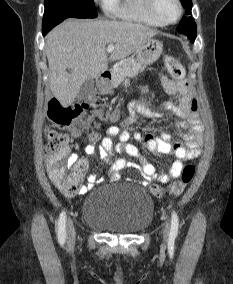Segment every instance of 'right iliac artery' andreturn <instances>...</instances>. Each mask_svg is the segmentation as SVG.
Here are the masks:
<instances>
[{
	"label": "right iliac artery",
	"mask_w": 233,
	"mask_h": 284,
	"mask_svg": "<svg viewBox=\"0 0 233 284\" xmlns=\"http://www.w3.org/2000/svg\"><path fill=\"white\" fill-rule=\"evenodd\" d=\"M66 239V213L63 211L58 220V240L61 245L65 243Z\"/></svg>",
	"instance_id": "obj_1"
}]
</instances>
